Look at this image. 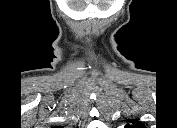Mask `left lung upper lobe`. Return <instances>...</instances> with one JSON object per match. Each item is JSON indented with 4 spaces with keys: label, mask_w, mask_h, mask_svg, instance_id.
<instances>
[{
    "label": "left lung upper lobe",
    "mask_w": 177,
    "mask_h": 128,
    "mask_svg": "<svg viewBox=\"0 0 177 128\" xmlns=\"http://www.w3.org/2000/svg\"><path fill=\"white\" fill-rule=\"evenodd\" d=\"M131 124H127L126 127L127 128H143V124H141L139 121L137 120H133L130 122Z\"/></svg>",
    "instance_id": "1"
}]
</instances>
